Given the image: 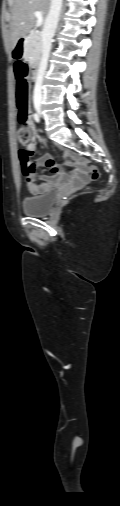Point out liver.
Segmentation results:
<instances>
[{
	"label": "liver",
	"instance_id": "obj_1",
	"mask_svg": "<svg viewBox=\"0 0 120 506\" xmlns=\"http://www.w3.org/2000/svg\"><path fill=\"white\" fill-rule=\"evenodd\" d=\"M51 0H14L10 45L15 48L19 39L25 37L36 22L35 12L40 11L45 18L50 9Z\"/></svg>",
	"mask_w": 120,
	"mask_h": 506
}]
</instances>
